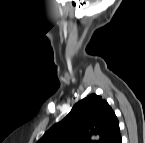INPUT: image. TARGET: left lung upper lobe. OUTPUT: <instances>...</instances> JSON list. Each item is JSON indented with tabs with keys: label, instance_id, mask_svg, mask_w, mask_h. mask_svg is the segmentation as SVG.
I'll use <instances>...</instances> for the list:
<instances>
[{
	"label": "left lung upper lobe",
	"instance_id": "5c2ea615",
	"mask_svg": "<svg viewBox=\"0 0 145 143\" xmlns=\"http://www.w3.org/2000/svg\"><path fill=\"white\" fill-rule=\"evenodd\" d=\"M92 134L100 135L99 142L90 140ZM119 136V122L114 111L106 100L91 94L76 103L38 143H114Z\"/></svg>",
	"mask_w": 145,
	"mask_h": 143
}]
</instances>
